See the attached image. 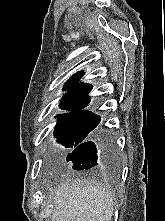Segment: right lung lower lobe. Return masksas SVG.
Listing matches in <instances>:
<instances>
[{
  "label": "right lung lower lobe",
  "mask_w": 165,
  "mask_h": 221,
  "mask_svg": "<svg viewBox=\"0 0 165 221\" xmlns=\"http://www.w3.org/2000/svg\"><path fill=\"white\" fill-rule=\"evenodd\" d=\"M66 160L73 162V169L75 170L92 168L109 170L116 163L112 141L106 136H102L96 144L92 141L79 144L67 155Z\"/></svg>",
  "instance_id": "obj_1"
}]
</instances>
